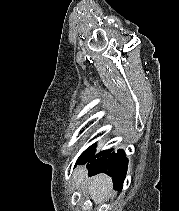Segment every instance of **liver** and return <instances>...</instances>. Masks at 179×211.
<instances>
[{
  "label": "liver",
  "mask_w": 179,
  "mask_h": 211,
  "mask_svg": "<svg viewBox=\"0 0 179 211\" xmlns=\"http://www.w3.org/2000/svg\"><path fill=\"white\" fill-rule=\"evenodd\" d=\"M86 171L83 168H78L74 171V180L79 185L83 182ZM112 188V180L106 174H99L90 179L89 193L91 199L96 203H100L109 193Z\"/></svg>",
  "instance_id": "liver-1"
}]
</instances>
